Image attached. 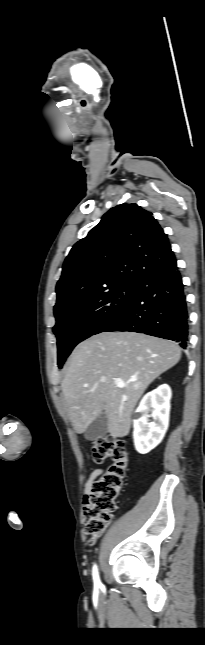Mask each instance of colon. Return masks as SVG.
Segmentation results:
<instances>
[{
    "mask_svg": "<svg viewBox=\"0 0 205 645\" xmlns=\"http://www.w3.org/2000/svg\"><path fill=\"white\" fill-rule=\"evenodd\" d=\"M91 452L97 464L109 458L113 461L84 501V530L88 543L93 545L116 511V499L122 490L130 460L124 443L110 437L95 440Z\"/></svg>",
    "mask_w": 205,
    "mask_h": 645,
    "instance_id": "1",
    "label": "colon"
}]
</instances>
